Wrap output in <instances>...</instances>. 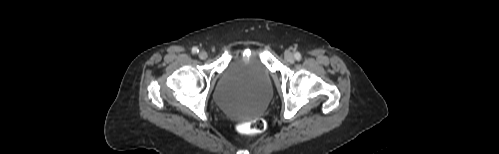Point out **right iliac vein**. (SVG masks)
I'll return each mask as SVG.
<instances>
[{
    "label": "right iliac vein",
    "instance_id": "1",
    "mask_svg": "<svg viewBox=\"0 0 499 154\" xmlns=\"http://www.w3.org/2000/svg\"><path fill=\"white\" fill-rule=\"evenodd\" d=\"M199 58L202 59V60L206 59L207 58V52L206 51H201L199 53Z\"/></svg>",
    "mask_w": 499,
    "mask_h": 154
}]
</instances>
